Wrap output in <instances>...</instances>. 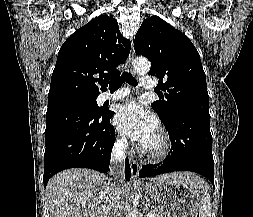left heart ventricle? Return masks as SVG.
<instances>
[{"label": "left heart ventricle", "mask_w": 253, "mask_h": 217, "mask_svg": "<svg viewBox=\"0 0 253 217\" xmlns=\"http://www.w3.org/2000/svg\"><path fill=\"white\" fill-rule=\"evenodd\" d=\"M158 144V137H157V133L148 141V143L146 144L147 146L154 148L156 147Z\"/></svg>", "instance_id": "left-heart-ventricle-1"}]
</instances>
